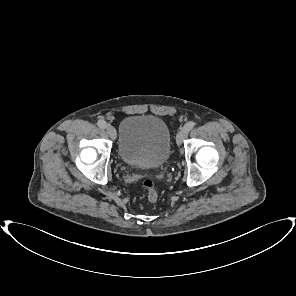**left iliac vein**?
Wrapping results in <instances>:
<instances>
[{
	"label": "left iliac vein",
	"mask_w": 296,
	"mask_h": 296,
	"mask_svg": "<svg viewBox=\"0 0 296 296\" xmlns=\"http://www.w3.org/2000/svg\"><path fill=\"white\" fill-rule=\"evenodd\" d=\"M188 132L189 130L185 127H183L178 133H177V136H176V142H177V145H181L183 140L187 137L188 135Z\"/></svg>",
	"instance_id": "obj_1"
}]
</instances>
